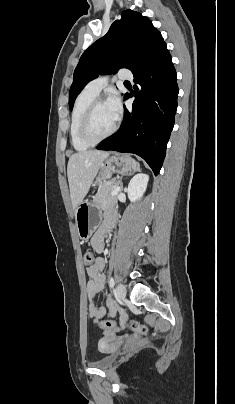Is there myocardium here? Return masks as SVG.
Here are the masks:
<instances>
[{"label":"myocardium","mask_w":235,"mask_h":404,"mask_svg":"<svg viewBox=\"0 0 235 404\" xmlns=\"http://www.w3.org/2000/svg\"><path fill=\"white\" fill-rule=\"evenodd\" d=\"M101 103H104L103 99H100V98L94 99L90 103L88 108L86 109L84 116L82 118V121H81L80 135H81L82 139L90 145H96V144L108 139L116 132V130L118 128L119 122H118V119H116L115 123L113 124V126L107 133H105L104 135H102L100 137H95L93 135V133H92L93 117H94V113H95L97 106Z\"/></svg>","instance_id":"obj_1"}]
</instances>
